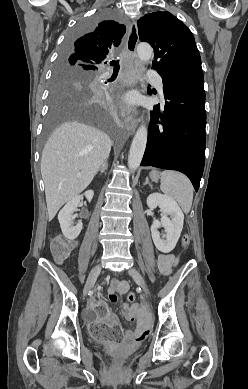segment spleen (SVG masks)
Returning <instances> with one entry per match:
<instances>
[{"instance_id": "1", "label": "spleen", "mask_w": 248, "mask_h": 389, "mask_svg": "<svg viewBox=\"0 0 248 389\" xmlns=\"http://www.w3.org/2000/svg\"><path fill=\"white\" fill-rule=\"evenodd\" d=\"M160 188L174 198L185 213H189L193 201V186L184 174L172 170L163 171Z\"/></svg>"}]
</instances>
